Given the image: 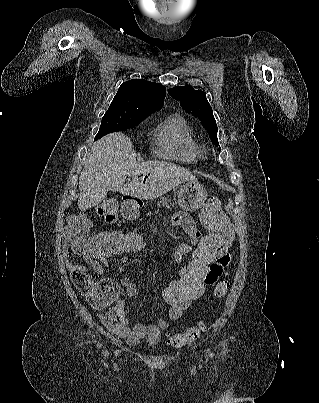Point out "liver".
I'll return each instance as SVG.
<instances>
[{"instance_id": "obj_1", "label": "liver", "mask_w": 319, "mask_h": 403, "mask_svg": "<svg viewBox=\"0 0 319 403\" xmlns=\"http://www.w3.org/2000/svg\"><path fill=\"white\" fill-rule=\"evenodd\" d=\"M136 156L130 138L121 132L108 134L95 142L80 174L78 208L86 211L98 205L108 191L149 200L183 182L197 180L176 164L158 160L138 162ZM127 176L132 177V181L125 184Z\"/></svg>"}]
</instances>
